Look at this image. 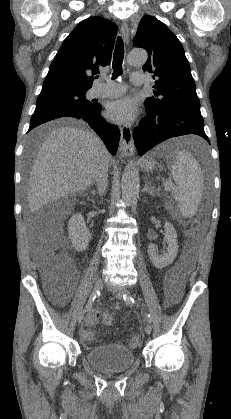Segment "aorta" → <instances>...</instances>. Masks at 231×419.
I'll return each mask as SVG.
<instances>
[{
    "mask_svg": "<svg viewBox=\"0 0 231 419\" xmlns=\"http://www.w3.org/2000/svg\"><path fill=\"white\" fill-rule=\"evenodd\" d=\"M148 59V54L143 49H134L128 55L130 65H143ZM139 187L138 170L133 164H128L121 178L122 197L126 202H132Z\"/></svg>",
    "mask_w": 231,
    "mask_h": 419,
    "instance_id": "1",
    "label": "aorta"
}]
</instances>
